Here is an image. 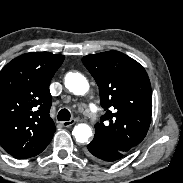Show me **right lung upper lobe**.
<instances>
[{"mask_svg":"<svg viewBox=\"0 0 183 183\" xmlns=\"http://www.w3.org/2000/svg\"><path fill=\"white\" fill-rule=\"evenodd\" d=\"M64 56L30 52L0 72V145L15 158L40 154L56 130L49 112L50 81Z\"/></svg>","mask_w":183,"mask_h":183,"instance_id":"1","label":"right lung upper lobe"}]
</instances>
